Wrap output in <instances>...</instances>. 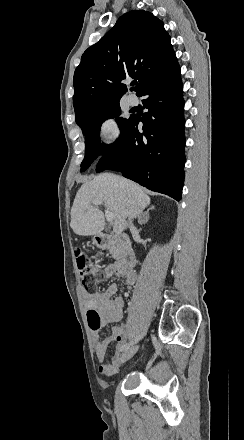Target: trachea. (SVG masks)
Returning <instances> with one entry per match:
<instances>
[{"label": "trachea", "mask_w": 244, "mask_h": 440, "mask_svg": "<svg viewBox=\"0 0 244 440\" xmlns=\"http://www.w3.org/2000/svg\"><path fill=\"white\" fill-rule=\"evenodd\" d=\"M134 85H136L137 84V81L136 80H134L133 82H132Z\"/></svg>", "instance_id": "3493384b"}]
</instances>
